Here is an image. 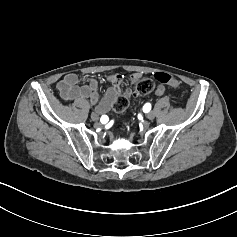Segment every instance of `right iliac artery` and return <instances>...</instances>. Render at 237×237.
Instances as JSON below:
<instances>
[{
	"mask_svg": "<svg viewBox=\"0 0 237 237\" xmlns=\"http://www.w3.org/2000/svg\"><path fill=\"white\" fill-rule=\"evenodd\" d=\"M103 119H105V120H108V116L107 115H103L102 117H101V119H100V121L103 123Z\"/></svg>",
	"mask_w": 237,
	"mask_h": 237,
	"instance_id": "1",
	"label": "right iliac artery"
}]
</instances>
